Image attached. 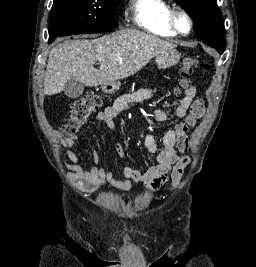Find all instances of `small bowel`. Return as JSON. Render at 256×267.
Segmentation results:
<instances>
[{
  "label": "small bowel",
  "mask_w": 256,
  "mask_h": 267,
  "mask_svg": "<svg viewBox=\"0 0 256 267\" xmlns=\"http://www.w3.org/2000/svg\"><path fill=\"white\" fill-rule=\"evenodd\" d=\"M183 93L174 100L168 108L159 109L155 113V119L158 122H165L169 115L176 118H184L196 95V87L193 84L186 86L182 83ZM153 95L152 88H141L132 92L124 93L118 96L112 105L99 112L97 120L106 124L111 130L116 128V119L126 111L132 103L149 99ZM176 130L170 129L165 132L162 138V144L159 147L155 138L147 134L144 138V144L150 153L157 154L158 164L150 167L146 171L139 169L134 165H127L121 169L125 179H118L113 169L98 166L100 157L91 144L92 158L94 165L86 169L80 163V158L74 150L79 142L77 136H71L65 139L66 154L70 161L69 179L82 192L92 194L101 186L108 184L117 189L127 190L134 183H141L149 190L156 191L166 181L172 166L179 160L178 151L182 152L179 144V138L175 137ZM116 153L126 158V154L121 143L115 145Z\"/></svg>",
  "instance_id": "small-bowel-1"
}]
</instances>
